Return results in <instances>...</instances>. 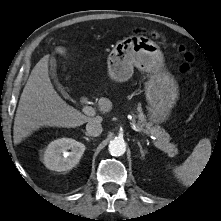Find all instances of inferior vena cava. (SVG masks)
Segmentation results:
<instances>
[{
	"instance_id": "inferior-vena-cava-1",
	"label": "inferior vena cava",
	"mask_w": 221,
	"mask_h": 221,
	"mask_svg": "<svg viewBox=\"0 0 221 221\" xmlns=\"http://www.w3.org/2000/svg\"><path fill=\"white\" fill-rule=\"evenodd\" d=\"M102 125L99 121L88 122L86 125V131L89 136L97 137L102 133Z\"/></svg>"
}]
</instances>
